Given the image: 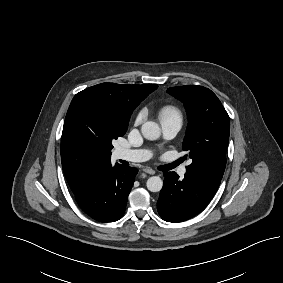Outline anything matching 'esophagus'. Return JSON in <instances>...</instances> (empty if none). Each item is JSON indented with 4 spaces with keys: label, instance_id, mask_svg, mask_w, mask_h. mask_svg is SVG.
Returning a JSON list of instances; mask_svg holds the SVG:
<instances>
[{
    "label": "esophagus",
    "instance_id": "obj_1",
    "mask_svg": "<svg viewBox=\"0 0 283 283\" xmlns=\"http://www.w3.org/2000/svg\"><path fill=\"white\" fill-rule=\"evenodd\" d=\"M143 171L150 175H154L156 173L152 168H144Z\"/></svg>",
    "mask_w": 283,
    "mask_h": 283
}]
</instances>
